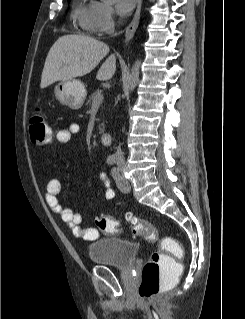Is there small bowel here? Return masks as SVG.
I'll use <instances>...</instances> for the list:
<instances>
[{
    "mask_svg": "<svg viewBox=\"0 0 245 319\" xmlns=\"http://www.w3.org/2000/svg\"><path fill=\"white\" fill-rule=\"evenodd\" d=\"M80 133L78 124H71L66 129H61L56 134L58 143H68L73 136ZM99 180L103 187V196L106 201H111L115 198V191L110 186V180L106 173L99 174ZM62 192V184L59 179L51 178L47 183L45 199L48 206L55 214L70 228L74 236L80 237L86 241H93L98 238L100 232L95 227L81 228L82 214L75 212L69 207L64 206L60 202V194Z\"/></svg>",
    "mask_w": 245,
    "mask_h": 319,
    "instance_id": "small-bowel-1",
    "label": "small bowel"
}]
</instances>
